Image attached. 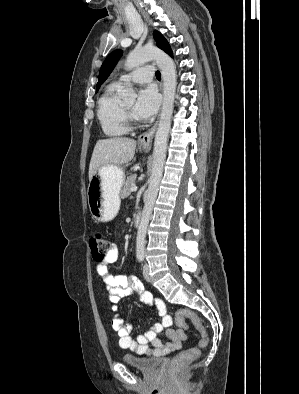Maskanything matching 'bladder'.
<instances>
[{"instance_id":"bladder-1","label":"bladder","mask_w":299,"mask_h":394,"mask_svg":"<svg viewBox=\"0 0 299 394\" xmlns=\"http://www.w3.org/2000/svg\"><path fill=\"white\" fill-rule=\"evenodd\" d=\"M122 361L142 373H152L160 365L161 360L156 357H144L133 354H123Z\"/></svg>"}]
</instances>
